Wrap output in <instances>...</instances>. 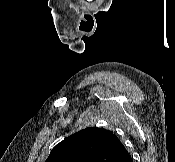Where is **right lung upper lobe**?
I'll return each mask as SVG.
<instances>
[{"label": "right lung upper lobe", "mask_w": 175, "mask_h": 162, "mask_svg": "<svg viewBox=\"0 0 175 162\" xmlns=\"http://www.w3.org/2000/svg\"><path fill=\"white\" fill-rule=\"evenodd\" d=\"M128 151L113 132L83 129L61 141L45 162H117Z\"/></svg>", "instance_id": "1"}]
</instances>
